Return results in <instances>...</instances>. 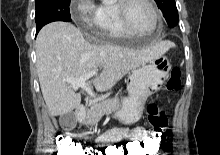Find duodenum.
<instances>
[{
	"label": "duodenum",
	"mask_w": 220,
	"mask_h": 155,
	"mask_svg": "<svg viewBox=\"0 0 220 155\" xmlns=\"http://www.w3.org/2000/svg\"><path fill=\"white\" fill-rule=\"evenodd\" d=\"M86 112L87 110L83 105H80L75 109V115L78 119H82L85 116Z\"/></svg>",
	"instance_id": "410a0bca"
}]
</instances>
